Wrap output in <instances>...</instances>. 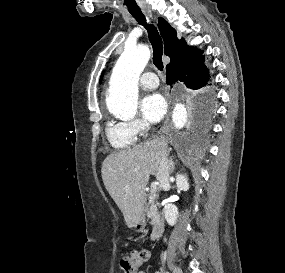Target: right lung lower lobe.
Instances as JSON below:
<instances>
[{
	"mask_svg": "<svg viewBox=\"0 0 285 273\" xmlns=\"http://www.w3.org/2000/svg\"><path fill=\"white\" fill-rule=\"evenodd\" d=\"M202 53L175 66L166 67L167 83L171 85L176 81H181L193 90L204 87L209 81V70L204 64Z\"/></svg>",
	"mask_w": 285,
	"mask_h": 273,
	"instance_id": "1",
	"label": "right lung lower lobe"
}]
</instances>
